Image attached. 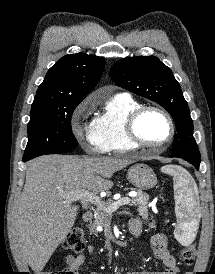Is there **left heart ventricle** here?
Instances as JSON below:
<instances>
[{"label":"left heart ventricle","mask_w":215,"mask_h":274,"mask_svg":"<svg viewBox=\"0 0 215 274\" xmlns=\"http://www.w3.org/2000/svg\"><path fill=\"white\" fill-rule=\"evenodd\" d=\"M137 130L140 137L146 142L160 143L168 137L170 127L162 114L148 111L140 118Z\"/></svg>","instance_id":"1"}]
</instances>
